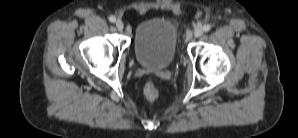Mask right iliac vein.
I'll return each instance as SVG.
<instances>
[{
	"instance_id": "obj_1",
	"label": "right iliac vein",
	"mask_w": 298,
	"mask_h": 138,
	"mask_svg": "<svg viewBox=\"0 0 298 138\" xmlns=\"http://www.w3.org/2000/svg\"><path fill=\"white\" fill-rule=\"evenodd\" d=\"M116 25V28L119 30V31H122L124 29V23L122 20L118 19L115 23Z\"/></svg>"
}]
</instances>
